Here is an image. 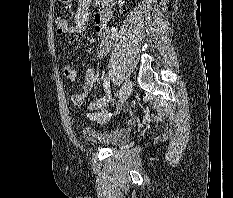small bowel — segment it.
<instances>
[{"label": "small bowel", "mask_w": 233, "mask_h": 198, "mask_svg": "<svg viewBox=\"0 0 233 198\" xmlns=\"http://www.w3.org/2000/svg\"><path fill=\"white\" fill-rule=\"evenodd\" d=\"M92 0H78V8L74 16V24L66 25L65 31L60 36H67L70 42L75 43L85 37L86 24L89 21L90 13L89 7ZM112 12L110 5L105 3L94 17V29L97 34V56L104 58L110 50L112 45V37L108 28V23L111 19ZM62 73L68 80H75L78 72L70 65H64ZM99 80V74L93 70L88 69L84 75V84L80 92L71 95V101L75 105L82 104L94 85ZM96 119H101L102 116H95Z\"/></svg>", "instance_id": "c3829d8e"}]
</instances>
